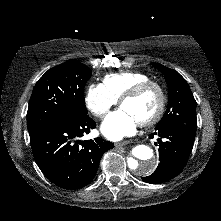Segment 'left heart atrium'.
<instances>
[{
  "instance_id": "left-heart-atrium-1",
  "label": "left heart atrium",
  "mask_w": 221,
  "mask_h": 221,
  "mask_svg": "<svg viewBox=\"0 0 221 221\" xmlns=\"http://www.w3.org/2000/svg\"><path fill=\"white\" fill-rule=\"evenodd\" d=\"M140 122L126 109L120 108L103 121L101 131L110 140L118 141L136 132Z\"/></svg>"
}]
</instances>
